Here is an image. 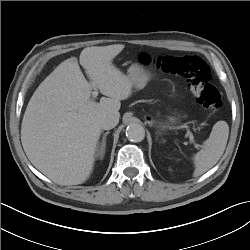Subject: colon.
Listing matches in <instances>:
<instances>
[{
	"mask_svg": "<svg viewBox=\"0 0 250 250\" xmlns=\"http://www.w3.org/2000/svg\"><path fill=\"white\" fill-rule=\"evenodd\" d=\"M140 62L146 66H153L171 75L184 79L197 102L206 109L215 112L222 105L221 96L217 88L211 84L210 69L199 56H160L151 57L142 54Z\"/></svg>",
	"mask_w": 250,
	"mask_h": 250,
	"instance_id": "5ec220e1",
	"label": "colon"
}]
</instances>
